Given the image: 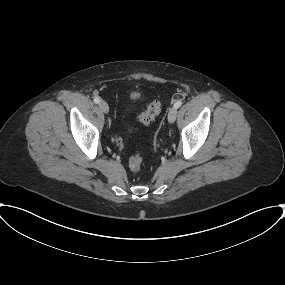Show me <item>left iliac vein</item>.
Masks as SVG:
<instances>
[{"label":"left iliac vein","mask_w":285,"mask_h":285,"mask_svg":"<svg viewBox=\"0 0 285 285\" xmlns=\"http://www.w3.org/2000/svg\"><path fill=\"white\" fill-rule=\"evenodd\" d=\"M176 117H177V109L175 107L171 108L169 110V113H168V121L170 123H173L175 122L176 120Z\"/></svg>","instance_id":"obj_1"}]
</instances>
